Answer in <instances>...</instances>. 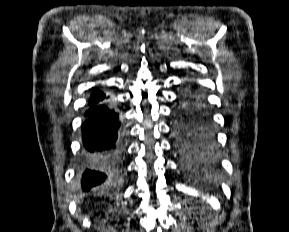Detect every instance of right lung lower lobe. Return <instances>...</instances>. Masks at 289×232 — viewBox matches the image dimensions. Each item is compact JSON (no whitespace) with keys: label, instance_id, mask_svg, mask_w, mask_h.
<instances>
[{"label":"right lung lower lobe","instance_id":"1","mask_svg":"<svg viewBox=\"0 0 289 232\" xmlns=\"http://www.w3.org/2000/svg\"><path fill=\"white\" fill-rule=\"evenodd\" d=\"M82 124V188L103 183L107 171L117 165L124 147V125L108 96L90 98Z\"/></svg>","mask_w":289,"mask_h":232}]
</instances>
